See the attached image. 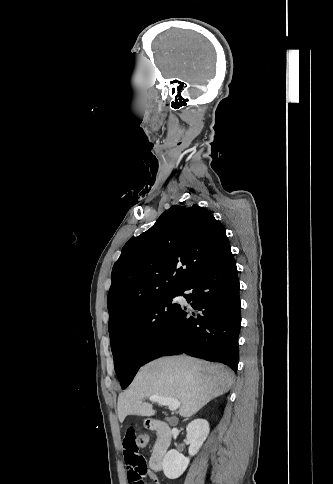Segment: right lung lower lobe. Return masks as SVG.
<instances>
[{"label": "right lung lower lobe", "instance_id": "1", "mask_svg": "<svg viewBox=\"0 0 333 484\" xmlns=\"http://www.w3.org/2000/svg\"><path fill=\"white\" fill-rule=\"evenodd\" d=\"M239 280L231 247L181 290L196 311L180 306L155 339L141 366L165 355L189 354L222 362L237 372L241 325Z\"/></svg>", "mask_w": 333, "mask_h": 484}]
</instances>
